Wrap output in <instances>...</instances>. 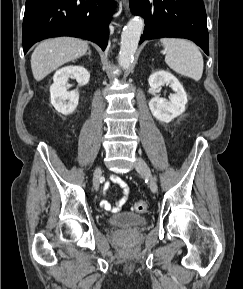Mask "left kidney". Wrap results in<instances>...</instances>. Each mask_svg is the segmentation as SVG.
I'll return each instance as SVG.
<instances>
[{
	"instance_id": "obj_1",
	"label": "left kidney",
	"mask_w": 243,
	"mask_h": 289,
	"mask_svg": "<svg viewBox=\"0 0 243 289\" xmlns=\"http://www.w3.org/2000/svg\"><path fill=\"white\" fill-rule=\"evenodd\" d=\"M148 83L155 92L164 84H169L175 92L170 95V101H165L159 96H155L150 100V111L157 120L169 123L185 111V105L187 103L186 92L181 83L171 73L157 71L149 77Z\"/></svg>"
}]
</instances>
